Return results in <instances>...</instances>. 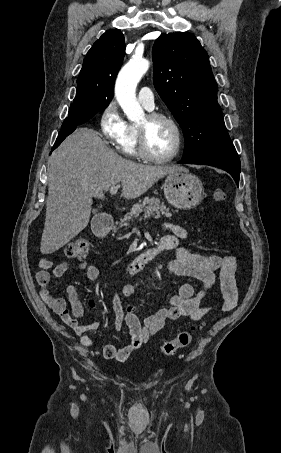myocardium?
Listing matches in <instances>:
<instances>
[{"instance_id": "1", "label": "myocardium", "mask_w": 281, "mask_h": 453, "mask_svg": "<svg viewBox=\"0 0 281 453\" xmlns=\"http://www.w3.org/2000/svg\"><path fill=\"white\" fill-rule=\"evenodd\" d=\"M146 123L138 126V150L139 154L148 160L157 163H166L173 160L179 153L182 142V131L178 123L170 116L163 113H149L145 117ZM158 121L168 123L175 133V142L170 154L166 156H157L150 149L148 142V127Z\"/></svg>"}]
</instances>
